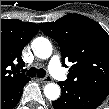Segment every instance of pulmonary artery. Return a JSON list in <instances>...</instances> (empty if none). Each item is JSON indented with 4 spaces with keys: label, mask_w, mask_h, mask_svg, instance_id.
Returning a JSON list of instances; mask_svg holds the SVG:
<instances>
[{
    "label": "pulmonary artery",
    "mask_w": 109,
    "mask_h": 109,
    "mask_svg": "<svg viewBox=\"0 0 109 109\" xmlns=\"http://www.w3.org/2000/svg\"><path fill=\"white\" fill-rule=\"evenodd\" d=\"M50 73L60 80L63 79L61 61L59 57H54L50 64Z\"/></svg>",
    "instance_id": "e3ab8cb5"
}]
</instances>
